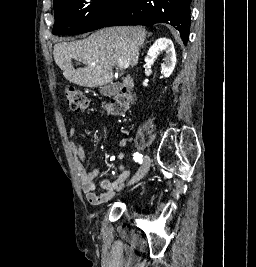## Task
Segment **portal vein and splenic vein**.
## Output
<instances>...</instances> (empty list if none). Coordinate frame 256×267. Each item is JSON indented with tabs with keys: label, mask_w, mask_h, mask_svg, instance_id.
Listing matches in <instances>:
<instances>
[{
	"label": "portal vein and splenic vein",
	"mask_w": 256,
	"mask_h": 267,
	"mask_svg": "<svg viewBox=\"0 0 256 267\" xmlns=\"http://www.w3.org/2000/svg\"><path fill=\"white\" fill-rule=\"evenodd\" d=\"M117 64L121 70H126V68H129L128 62H117Z\"/></svg>",
	"instance_id": "obj_1"
}]
</instances>
